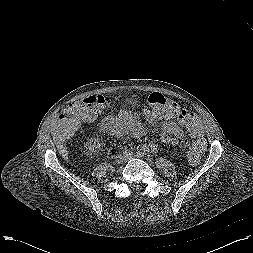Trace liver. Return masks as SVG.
<instances>
[{"label": "liver", "mask_w": 253, "mask_h": 253, "mask_svg": "<svg viewBox=\"0 0 253 253\" xmlns=\"http://www.w3.org/2000/svg\"><path fill=\"white\" fill-rule=\"evenodd\" d=\"M50 132L52 134L53 140L57 146L58 151L62 154V156H67L65 152L64 146V137L60 132L59 125L57 120H54L51 124Z\"/></svg>", "instance_id": "obj_1"}]
</instances>
